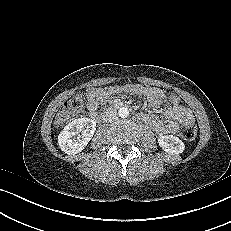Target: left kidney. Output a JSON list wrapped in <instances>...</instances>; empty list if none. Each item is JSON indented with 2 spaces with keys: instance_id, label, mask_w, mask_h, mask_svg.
<instances>
[{
  "instance_id": "obj_1",
  "label": "left kidney",
  "mask_w": 231,
  "mask_h": 231,
  "mask_svg": "<svg viewBox=\"0 0 231 231\" xmlns=\"http://www.w3.org/2000/svg\"><path fill=\"white\" fill-rule=\"evenodd\" d=\"M159 146L168 154H180L184 151L185 145L178 137L163 135L158 139Z\"/></svg>"
}]
</instances>
